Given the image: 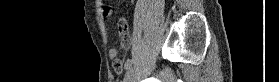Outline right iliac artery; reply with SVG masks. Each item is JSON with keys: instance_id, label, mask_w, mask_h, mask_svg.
<instances>
[{"instance_id": "obj_1", "label": "right iliac artery", "mask_w": 279, "mask_h": 82, "mask_svg": "<svg viewBox=\"0 0 279 82\" xmlns=\"http://www.w3.org/2000/svg\"><path fill=\"white\" fill-rule=\"evenodd\" d=\"M131 66H132V61L129 60V61H127V62L125 63L124 68H125V70L128 72L129 69L131 68Z\"/></svg>"}]
</instances>
